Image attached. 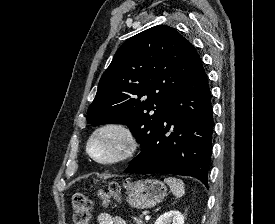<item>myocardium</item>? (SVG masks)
<instances>
[{"label": "myocardium", "instance_id": "obj_1", "mask_svg": "<svg viewBox=\"0 0 275 224\" xmlns=\"http://www.w3.org/2000/svg\"><path fill=\"white\" fill-rule=\"evenodd\" d=\"M108 131H114L118 133L124 141V147L117 156L110 159H100L92 153L91 144L96 137ZM137 147H138L137 139L132 129L126 124L121 122H106L99 125L91 132L86 142L87 154L94 162L100 165H116V164L123 163L134 155V153L137 150Z\"/></svg>", "mask_w": 275, "mask_h": 224}]
</instances>
